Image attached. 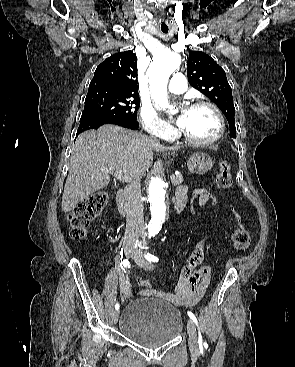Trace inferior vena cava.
I'll return each mask as SVG.
<instances>
[{
  "mask_svg": "<svg viewBox=\"0 0 295 367\" xmlns=\"http://www.w3.org/2000/svg\"><path fill=\"white\" fill-rule=\"evenodd\" d=\"M159 143L156 138H151ZM139 181L130 182L125 187V200L127 206L126 230L123 237V245H135L144 229L143 202L141 200Z\"/></svg>",
  "mask_w": 295,
  "mask_h": 367,
  "instance_id": "inferior-vena-cava-1",
  "label": "inferior vena cava"
}]
</instances>
